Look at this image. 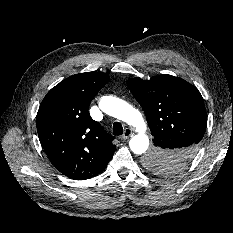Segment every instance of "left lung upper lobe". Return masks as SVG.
I'll return each mask as SVG.
<instances>
[{"label": "left lung upper lobe", "mask_w": 233, "mask_h": 233, "mask_svg": "<svg viewBox=\"0 0 233 233\" xmlns=\"http://www.w3.org/2000/svg\"><path fill=\"white\" fill-rule=\"evenodd\" d=\"M127 85L143 108L153 137L180 135L191 140L195 155L207 127L204 101L197 88L172 75H159L148 81L137 77ZM170 156L167 150L154 143L144 158V165L157 173L172 174L191 161L176 164L167 161Z\"/></svg>", "instance_id": "left-lung-upper-lobe-1"}]
</instances>
